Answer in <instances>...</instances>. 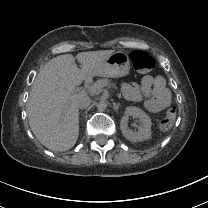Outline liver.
Wrapping results in <instances>:
<instances>
[{
    "mask_svg": "<svg viewBox=\"0 0 208 208\" xmlns=\"http://www.w3.org/2000/svg\"><path fill=\"white\" fill-rule=\"evenodd\" d=\"M115 52L84 51L74 57L63 54L49 60L39 71L29 95L27 116L32 132L49 150L71 149L79 137L78 98L76 86L94 74L97 65ZM83 69L79 70L75 61Z\"/></svg>",
    "mask_w": 208,
    "mask_h": 208,
    "instance_id": "liver-1",
    "label": "liver"
}]
</instances>
